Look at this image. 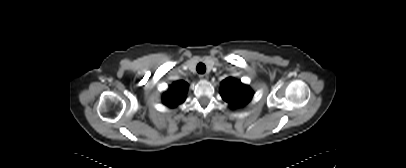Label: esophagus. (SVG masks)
<instances>
[{
  "label": "esophagus",
  "mask_w": 406,
  "mask_h": 168,
  "mask_svg": "<svg viewBox=\"0 0 406 168\" xmlns=\"http://www.w3.org/2000/svg\"><path fill=\"white\" fill-rule=\"evenodd\" d=\"M199 78H200L201 80H208L209 76H208L207 74H200V75H199Z\"/></svg>",
  "instance_id": "esophagus-1"
}]
</instances>
